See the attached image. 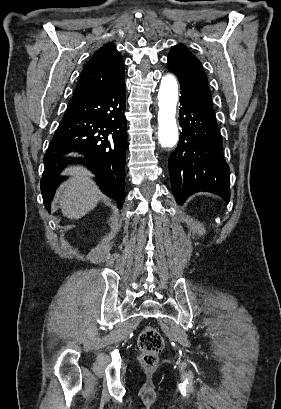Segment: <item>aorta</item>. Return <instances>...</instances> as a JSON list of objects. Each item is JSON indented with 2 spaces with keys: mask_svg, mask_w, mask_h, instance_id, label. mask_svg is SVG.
Wrapping results in <instances>:
<instances>
[{
  "mask_svg": "<svg viewBox=\"0 0 281 409\" xmlns=\"http://www.w3.org/2000/svg\"><path fill=\"white\" fill-rule=\"evenodd\" d=\"M177 100L176 78L167 74L162 78L158 91V138L162 147L172 148L178 141V128L175 119Z\"/></svg>",
  "mask_w": 281,
  "mask_h": 409,
  "instance_id": "762f6f07",
  "label": "aorta"
}]
</instances>
